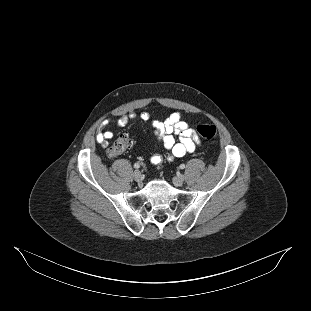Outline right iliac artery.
Returning a JSON list of instances; mask_svg holds the SVG:
<instances>
[{
    "instance_id": "1",
    "label": "right iliac artery",
    "mask_w": 311,
    "mask_h": 311,
    "mask_svg": "<svg viewBox=\"0 0 311 311\" xmlns=\"http://www.w3.org/2000/svg\"><path fill=\"white\" fill-rule=\"evenodd\" d=\"M140 167V165L138 163L134 164V168L138 169Z\"/></svg>"
}]
</instances>
